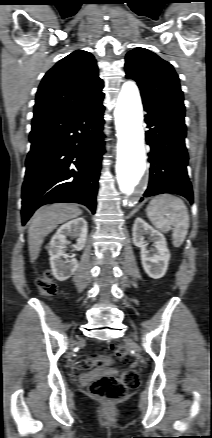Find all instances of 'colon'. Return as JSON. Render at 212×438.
<instances>
[{"mask_svg": "<svg viewBox=\"0 0 212 438\" xmlns=\"http://www.w3.org/2000/svg\"><path fill=\"white\" fill-rule=\"evenodd\" d=\"M37 288L43 296H52L56 293L57 285L52 278L51 273L46 272L38 281ZM111 349L114 356L123 361H128L126 348L119 342L111 343ZM78 367L85 368H101L103 362L97 356L88 360L78 362ZM139 374L134 369L126 370L120 377L114 375H104L93 382L89 386V391L92 396L100 400L110 402L123 398L131 389H135L139 385Z\"/></svg>", "mask_w": 212, "mask_h": 438, "instance_id": "5ec220e1", "label": "colon"}]
</instances>
